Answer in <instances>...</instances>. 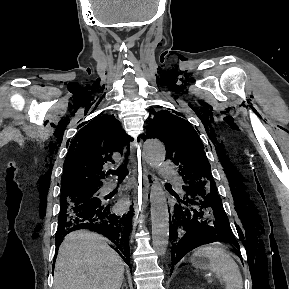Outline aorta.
<instances>
[{"label": "aorta", "mask_w": 289, "mask_h": 289, "mask_svg": "<svg viewBox=\"0 0 289 289\" xmlns=\"http://www.w3.org/2000/svg\"><path fill=\"white\" fill-rule=\"evenodd\" d=\"M146 162L152 167L160 166L166 157L163 143L156 139H148L143 144ZM152 245L158 255H164L169 242V212L162 183L153 177L150 192Z\"/></svg>", "instance_id": "762f6f07"}]
</instances>
